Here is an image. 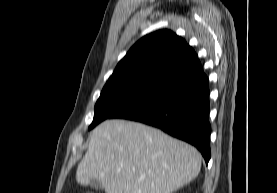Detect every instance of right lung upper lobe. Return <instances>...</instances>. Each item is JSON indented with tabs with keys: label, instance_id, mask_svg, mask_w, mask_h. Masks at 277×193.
Segmentation results:
<instances>
[{
	"label": "right lung upper lobe",
	"instance_id": "obj_1",
	"mask_svg": "<svg viewBox=\"0 0 277 193\" xmlns=\"http://www.w3.org/2000/svg\"><path fill=\"white\" fill-rule=\"evenodd\" d=\"M202 69L195 51L170 30L149 34L128 51L103 89L151 92Z\"/></svg>",
	"mask_w": 277,
	"mask_h": 193
}]
</instances>
